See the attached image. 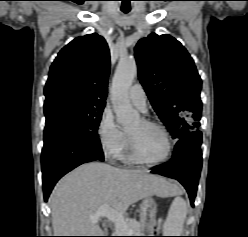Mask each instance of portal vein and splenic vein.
<instances>
[{"label": "portal vein and splenic vein", "mask_w": 248, "mask_h": 237, "mask_svg": "<svg viewBox=\"0 0 248 237\" xmlns=\"http://www.w3.org/2000/svg\"><path fill=\"white\" fill-rule=\"evenodd\" d=\"M101 217H106L108 220L115 223L118 229L126 227V220L123 214L110 208L107 204L101 206L94 215L90 216L92 222H98Z\"/></svg>", "instance_id": "portal-vein-and-splenic-vein-1"}]
</instances>
